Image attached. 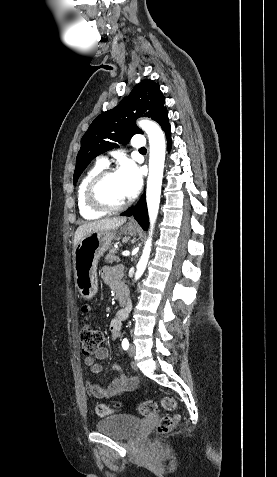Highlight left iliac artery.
<instances>
[{
	"label": "left iliac artery",
	"instance_id": "left-iliac-artery-1",
	"mask_svg": "<svg viewBox=\"0 0 277 477\" xmlns=\"http://www.w3.org/2000/svg\"><path fill=\"white\" fill-rule=\"evenodd\" d=\"M122 347L124 350H127L128 347H129V341L127 338H124L123 341H122Z\"/></svg>",
	"mask_w": 277,
	"mask_h": 477
}]
</instances>
